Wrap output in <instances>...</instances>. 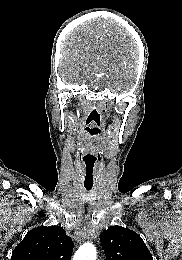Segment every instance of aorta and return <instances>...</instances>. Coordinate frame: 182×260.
Instances as JSON below:
<instances>
[{
    "label": "aorta",
    "mask_w": 182,
    "mask_h": 260,
    "mask_svg": "<svg viewBox=\"0 0 182 260\" xmlns=\"http://www.w3.org/2000/svg\"><path fill=\"white\" fill-rule=\"evenodd\" d=\"M97 251L95 246L90 243H84L74 254L73 260H96Z\"/></svg>",
    "instance_id": "aorta-1"
}]
</instances>
